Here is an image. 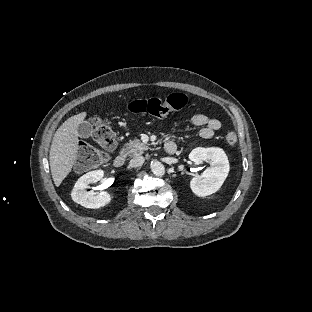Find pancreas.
Returning a JSON list of instances; mask_svg holds the SVG:
<instances>
[{
	"label": "pancreas",
	"instance_id": "obj_1",
	"mask_svg": "<svg viewBox=\"0 0 312 312\" xmlns=\"http://www.w3.org/2000/svg\"><path fill=\"white\" fill-rule=\"evenodd\" d=\"M149 146L142 144L138 139L132 140L127 143L126 148H124L120 155L124 158L127 157H135L138 155H142L144 151H147Z\"/></svg>",
	"mask_w": 312,
	"mask_h": 312
}]
</instances>
